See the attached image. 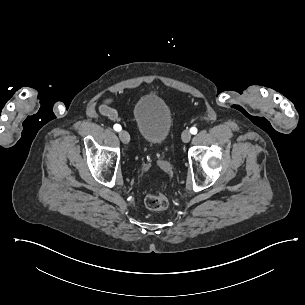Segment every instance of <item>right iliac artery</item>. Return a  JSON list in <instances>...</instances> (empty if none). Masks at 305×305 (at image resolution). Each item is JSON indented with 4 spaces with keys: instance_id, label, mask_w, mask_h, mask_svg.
Masks as SVG:
<instances>
[{
    "instance_id": "obj_1",
    "label": "right iliac artery",
    "mask_w": 305,
    "mask_h": 305,
    "mask_svg": "<svg viewBox=\"0 0 305 305\" xmlns=\"http://www.w3.org/2000/svg\"><path fill=\"white\" fill-rule=\"evenodd\" d=\"M113 128H114V130L117 131V132L121 131V129H122L121 126H120L119 124H115Z\"/></svg>"
}]
</instances>
